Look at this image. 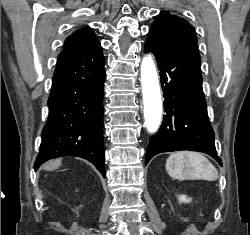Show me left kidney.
Listing matches in <instances>:
<instances>
[{"mask_svg":"<svg viewBox=\"0 0 250 235\" xmlns=\"http://www.w3.org/2000/svg\"><path fill=\"white\" fill-rule=\"evenodd\" d=\"M178 200L182 203H187V202H190L191 201V198H186V195H180L178 197Z\"/></svg>","mask_w":250,"mask_h":235,"instance_id":"1","label":"left kidney"}]
</instances>
